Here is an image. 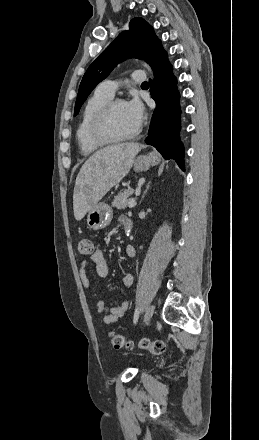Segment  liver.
Listing matches in <instances>:
<instances>
[{
	"mask_svg": "<svg viewBox=\"0 0 259 440\" xmlns=\"http://www.w3.org/2000/svg\"><path fill=\"white\" fill-rule=\"evenodd\" d=\"M142 149L138 143L112 145L96 151L80 169L73 192L74 217L77 221L130 171L135 156Z\"/></svg>",
	"mask_w": 259,
	"mask_h": 440,
	"instance_id": "1",
	"label": "liver"
}]
</instances>
